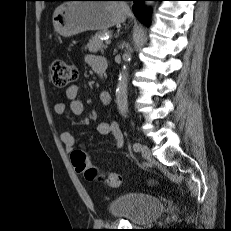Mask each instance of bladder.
Wrapping results in <instances>:
<instances>
[{"label":"bladder","instance_id":"1","mask_svg":"<svg viewBox=\"0 0 231 231\" xmlns=\"http://www.w3.org/2000/svg\"><path fill=\"white\" fill-rule=\"evenodd\" d=\"M108 213L131 224L145 225L157 220L163 213L164 204L158 198L142 193H128L112 200Z\"/></svg>","mask_w":231,"mask_h":231}]
</instances>
